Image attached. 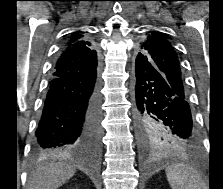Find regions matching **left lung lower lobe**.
<instances>
[{"label":"left lung lower lobe","instance_id":"1","mask_svg":"<svg viewBox=\"0 0 223 189\" xmlns=\"http://www.w3.org/2000/svg\"><path fill=\"white\" fill-rule=\"evenodd\" d=\"M134 98L138 131L159 126L179 144L194 147L199 136L187 97L153 66L135 61Z\"/></svg>","mask_w":223,"mask_h":189}]
</instances>
